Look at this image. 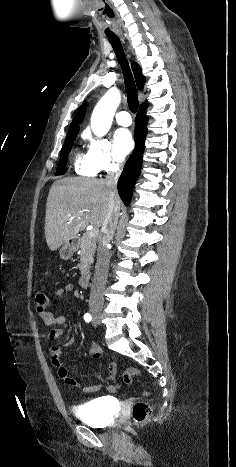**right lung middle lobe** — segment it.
<instances>
[{"mask_svg":"<svg viewBox=\"0 0 236 467\" xmlns=\"http://www.w3.org/2000/svg\"><path fill=\"white\" fill-rule=\"evenodd\" d=\"M77 136V133H74V134H69L67 135L66 137V140H65V143L63 145V148L61 150V155H60V159H59V162H58V165H57V172L55 175H62L65 173V166H66V162H67V156L73 146V141L75 140Z\"/></svg>","mask_w":236,"mask_h":467,"instance_id":"1","label":"right lung middle lobe"}]
</instances>
